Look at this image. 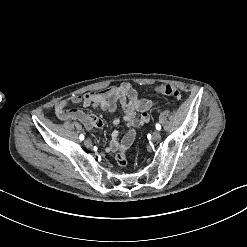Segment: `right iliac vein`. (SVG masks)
<instances>
[{
	"label": "right iliac vein",
	"mask_w": 247,
	"mask_h": 247,
	"mask_svg": "<svg viewBox=\"0 0 247 247\" xmlns=\"http://www.w3.org/2000/svg\"><path fill=\"white\" fill-rule=\"evenodd\" d=\"M84 144H85V146L88 147V148L91 147V146H92V141H91V139H89V138L85 139Z\"/></svg>",
	"instance_id": "1"
}]
</instances>
